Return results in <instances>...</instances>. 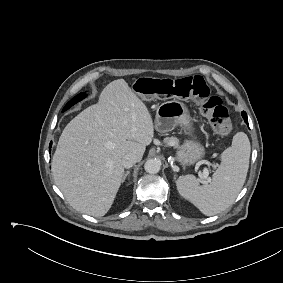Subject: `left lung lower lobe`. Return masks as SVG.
I'll return each mask as SVG.
<instances>
[{
  "label": "left lung lower lobe",
  "mask_w": 283,
  "mask_h": 283,
  "mask_svg": "<svg viewBox=\"0 0 283 283\" xmlns=\"http://www.w3.org/2000/svg\"><path fill=\"white\" fill-rule=\"evenodd\" d=\"M242 117H243V119H244L245 123L248 125V118H247V114H246L244 111L242 112Z\"/></svg>",
  "instance_id": "obj_1"
}]
</instances>
